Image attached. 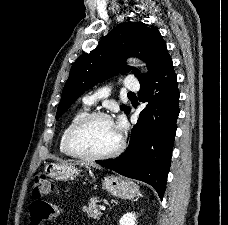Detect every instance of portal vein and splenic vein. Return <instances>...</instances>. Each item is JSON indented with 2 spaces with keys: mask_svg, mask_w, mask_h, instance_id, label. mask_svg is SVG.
<instances>
[{
  "mask_svg": "<svg viewBox=\"0 0 228 225\" xmlns=\"http://www.w3.org/2000/svg\"><path fill=\"white\" fill-rule=\"evenodd\" d=\"M100 209H102V211H105V207H100Z\"/></svg>",
  "mask_w": 228,
  "mask_h": 225,
  "instance_id": "1",
  "label": "portal vein and splenic vein"
}]
</instances>
